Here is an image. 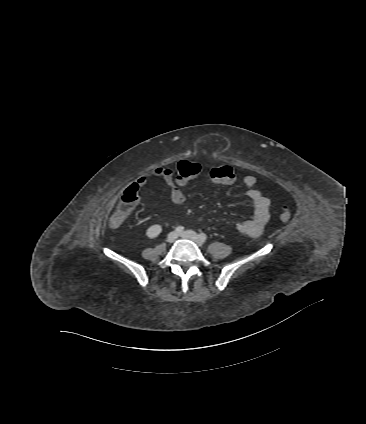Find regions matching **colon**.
<instances>
[{
	"label": "colon",
	"instance_id": "colon-1",
	"mask_svg": "<svg viewBox=\"0 0 366 424\" xmlns=\"http://www.w3.org/2000/svg\"><path fill=\"white\" fill-rule=\"evenodd\" d=\"M201 172L199 164L181 160L175 168L176 179L179 183H186L189 180L197 177ZM210 177L219 183H232L235 180V173L223 166L214 167L210 171ZM138 202L137 189L131 186L122 196L119 205L109 219L111 227L120 226L123 221L134 211ZM291 218V209L287 205H283L280 209L279 220L286 223Z\"/></svg>",
	"mask_w": 366,
	"mask_h": 424
}]
</instances>
